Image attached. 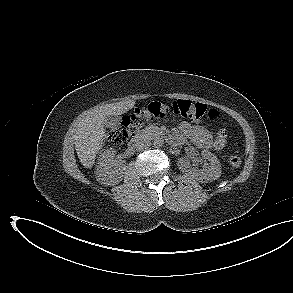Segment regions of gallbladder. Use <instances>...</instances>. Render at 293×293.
Segmentation results:
<instances>
[{
    "instance_id": "gallbladder-1",
    "label": "gallbladder",
    "mask_w": 293,
    "mask_h": 293,
    "mask_svg": "<svg viewBox=\"0 0 293 293\" xmlns=\"http://www.w3.org/2000/svg\"><path fill=\"white\" fill-rule=\"evenodd\" d=\"M120 122H121L120 116L110 115L105 118L104 125L107 128L114 130L120 126Z\"/></svg>"
}]
</instances>
